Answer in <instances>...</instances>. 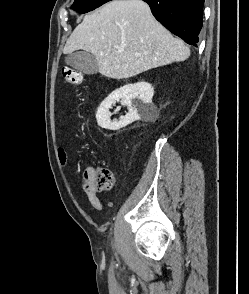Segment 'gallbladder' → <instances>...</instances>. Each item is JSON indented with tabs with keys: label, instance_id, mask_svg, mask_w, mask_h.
<instances>
[{
	"label": "gallbladder",
	"instance_id": "bac80fb5",
	"mask_svg": "<svg viewBox=\"0 0 249 294\" xmlns=\"http://www.w3.org/2000/svg\"><path fill=\"white\" fill-rule=\"evenodd\" d=\"M65 63L72 68L88 75L96 74L98 65L93 54L86 51H75L65 58Z\"/></svg>",
	"mask_w": 249,
	"mask_h": 294
}]
</instances>
